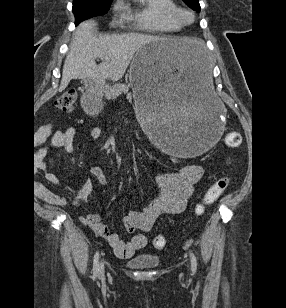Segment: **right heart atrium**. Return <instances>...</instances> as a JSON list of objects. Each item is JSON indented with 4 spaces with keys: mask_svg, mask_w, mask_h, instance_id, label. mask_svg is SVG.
Segmentation results:
<instances>
[{
    "mask_svg": "<svg viewBox=\"0 0 286 308\" xmlns=\"http://www.w3.org/2000/svg\"><path fill=\"white\" fill-rule=\"evenodd\" d=\"M126 8V3L124 0H115L113 3V11L116 14L123 13Z\"/></svg>",
    "mask_w": 286,
    "mask_h": 308,
    "instance_id": "obj_1",
    "label": "right heart atrium"
}]
</instances>
